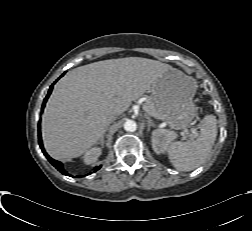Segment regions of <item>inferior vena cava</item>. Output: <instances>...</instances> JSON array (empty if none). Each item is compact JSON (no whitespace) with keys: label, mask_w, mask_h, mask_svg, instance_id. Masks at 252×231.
Segmentation results:
<instances>
[{"label":"inferior vena cava","mask_w":252,"mask_h":231,"mask_svg":"<svg viewBox=\"0 0 252 231\" xmlns=\"http://www.w3.org/2000/svg\"><path fill=\"white\" fill-rule=\"evenodd\" d=\"M117 115L116 114H111L107 117V123L110 124L112 123L114 120H116Z\"/></svg>","instance_id":"inferior-vena-cava-1"}]
</instances>
